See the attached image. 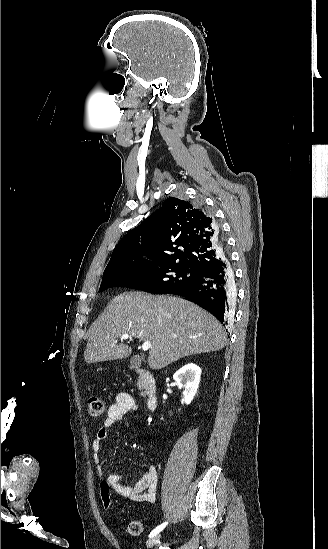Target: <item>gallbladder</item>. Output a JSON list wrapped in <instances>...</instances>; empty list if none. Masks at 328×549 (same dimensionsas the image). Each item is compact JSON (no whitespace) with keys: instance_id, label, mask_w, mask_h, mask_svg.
<instances>
[{"instance_id":"1","label":"gallbladder","mask_w":328,"mask_h":549,"mask_svg":"<svg viewBox=\"0 0 328 549\" xmlns=\"http://www.w3.org/2000/svg\"><path fill=\"white\" fill-rule=\"evenodd\" d=\"M130 365L131 367H134V369H139V367H141V359L139 355H134V357H131Z\"/></svg>"}]
</instances>
